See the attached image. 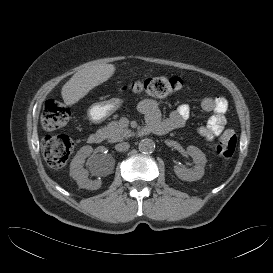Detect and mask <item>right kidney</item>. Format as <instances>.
<instances>
[{"instance_id": "1", "label": "right kidney", "mask_w": 273, "mask_h": 273, "mask_svg": "<svg viewBox=\"0 0 273 273\" xmlns=\"http://www.w3.org/2000/svg\"><path fill=\"white\" fill-rule=\"evenodd\" d=\"M93 148L91 146L82 147L70 164V176L77 182L78 186L86 189H94L93 182L87 178L88 171L83 168L85 159L91 155ZM92 167L97 165L96 162H91Z\"/></svg>"}]
</instances>
